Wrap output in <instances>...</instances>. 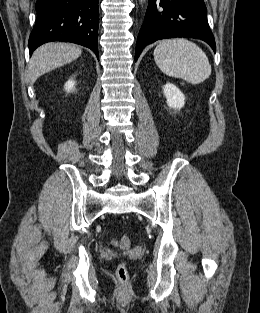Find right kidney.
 Segmentation results:
<instances>
[{"instance_id": "ca27d5eb", "label": "right kidney", "mask_w": 260, "mask_h": 313, "mask_svg": "<svg viewBox=\"0 0 260 313\" xmlns=\"http://www.w3.org/2000/svg\"><path fill=\"white\" fill-rule=\"evenodd\" d=\"M74 87H75V81L74 80H69L66 82L65 84V90L67 92H71L74 90Z\"/></svg>"}]
</instances>
